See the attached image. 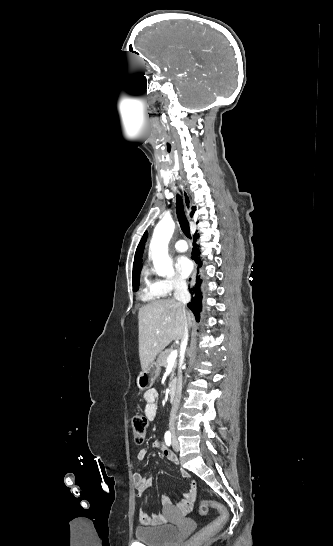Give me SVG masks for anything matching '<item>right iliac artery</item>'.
Wrapping results in <instances>:
<instances>
[{"instance_id":"right-iliac-artery-1","label":"right iliac artery","mask_w":333,"mask_h":546,"mask_svg":"<svg viewBox=\"0 0 333 546\" xmlns=\"http://www.w3.org/2000/svg\"><path fill=\"white\" fill-rule=\"evenodd\" d=\"M164 440L167 446L171 445V433L169 431L165 433Z\"/></svg>"}]
</instances>
